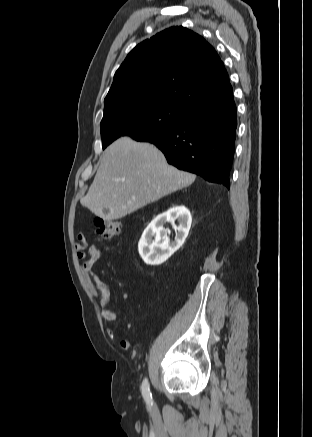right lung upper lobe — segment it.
Returning <instances> with one entry per match:
<instances>
[{"label":"right lung upper lobe","instance_id":"1","mask_svg":"<svg viewBox=\"0 0 312 437\" xmlns=\"http://www.w3.org/2000/svg\"><path fill=\"white\" fill-rule=\"evenodd\" d=\"M229 85L215 49L193 31L171 27L127 55L104 100V115L140 102L168 103L190 110L220 95Z\"/></svg>","mask_w":312,"mask_h":437}]
</instances>
